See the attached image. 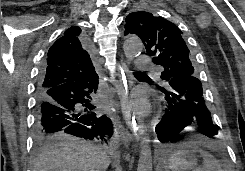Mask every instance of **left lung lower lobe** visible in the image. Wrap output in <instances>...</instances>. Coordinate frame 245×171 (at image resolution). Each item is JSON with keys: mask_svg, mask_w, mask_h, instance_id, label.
<instances>
[{"mask_svg": "<svg viewBox=\"0 0 245 171\" xmlns=\"http://www.w3.org/2000/svg\"><path fill=\"white\" fill-rule=\"evenodd\" d=\"M159 89L166 94L168 103L155 129L160 142L178 141L182 130L191 125L197 126L199 133L209 138L218 134V126L213 123L203 96L201 81L196 76L177 75Z\"/></svg>", "mask_w": 245, "mask_h": 171, "instance_id": "left-lung-lower-lobe-1", "label": "left lung lower lobe"}]
</instances>
